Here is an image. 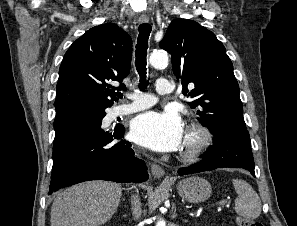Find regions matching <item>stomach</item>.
Here are the masks:
<instances>
[{
	"label": "stomach",
	"instance_id": "stomach-1",
	"mask_svg": "<svg viewBox=\"0 0 297 226\" xmlns=\"http://www.w3.org/2000/svg\"><path fill=\"white\" fill-rule=\"evenodd\" d=\"M176 188L180 197L192 203L202 202L212 194L211 184L197 176L181 180L177 183Z\"/></svg>",
	"mask_w": 297,
	"mask_h": 226
}]
</instances>
